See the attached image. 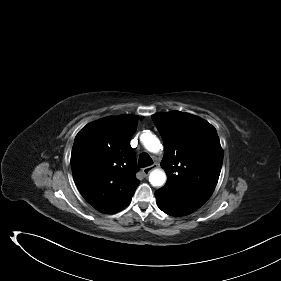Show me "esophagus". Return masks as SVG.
<instances>
[{
	"label": "esophagus",
	"instance_id": "34e87169",
	"mask_svg": "<svg viewBox=\"0 0 281 281\" xmlns=\"http://www.w3.org/2000/svg\"><path fill=\"white\" fill-rule=\"evenodd\" d=\"M156 168V164L143 168L142 172L147 176L153 169Z\"/></svg>",
	"mask_w": 281,
	"mask_h": 281
}]
</instances>
